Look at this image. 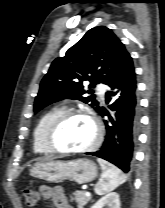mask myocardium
Wrapping results in <instances>:
<instances>
[{
    "instance_id": "f54148a6",
    "label": "myocardium",
    "mask_w": 165,
    "mask_h": 208,
    "mask_svg": "<svg viewBox=\"0 0 165 208\" xmlns=\"http://www.w3.org/2000/svg\"><path fill=\"white\" fill-rule=\"evenodd\" d=\"M73 117H85L87 118L94 127V139L86 147L80 149H64L58 147L55 142V134L60 129V127L70 118ZM102 140V127L98 119L89 111L78 109V110H65L60 115H58L45 133V142L49 149L54 153L59 154H84L94 150L100 144Z\"/></svg>"
}]
</instances>
